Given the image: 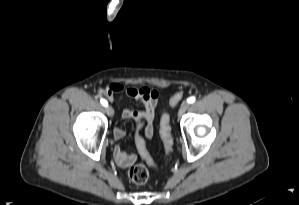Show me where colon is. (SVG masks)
<instances>
[{"label": "colon", "mask_w": 299, "mask_h": 205, "mask_svg": "<svg viewBox=\"0 0 299 205\" xmlns=\"http://www.w3.org/2000/svg\"><path fill=\"white\" fill-rule=\"evenodd\" d=\"M102 93L105 95H109L110 90L104 89V90H102ZM182 97H183V93L181 91L175 93L169 100V106L172 108L175 107L179 103V101L182 99ZM145 126H146V123L143 118L136 119V127H137V133L135 136L136 146H137L138 152L141 155V157L149 165L157 166V164L150 157V155L147 151V148H146L145 139L141 135V130L143 128H145ZM160 135H161V139L163 142L165 154L168 156V155H170V153L172 151V146H173V140H172V136H171V126H170V115L168 113H164L161 118ZM128 177L133 183H135L137 185H142L147 182L149 173H148L147 168L144 165L136 164L129 169Z\"/></svg>", "instance_id": "obj_1"}]
</instances>
